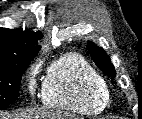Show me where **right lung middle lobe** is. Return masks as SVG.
<instances>
[{
	"mask_svg": "<svg viewBox=\"0 0 142 119\" xmlns=\"http://www.w3.org/2000/svg\"><path fill=\"white\" fill-rule=\"evenodd\" d=\"M31 59L0 65V109L19 96L21 77Z\"/></svg>",
	"mask_w": 142,
	"mask_h": 119,
	"instance_id": "1",
	"label": "right lung middle lobe"
}]
</instances>
